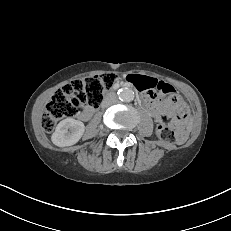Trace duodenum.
<instances>
[{"mask_svg":"<svg viewBox=\"0 0 231 231\" xmlns=\"http://www.w3.org/2000/svg\"><path fill=\"white\" fill-rule=\"evenodd\" d=\"M142 99H143V101H144L146 107L149 109L148 100H147L143 95H142ZM149 110H150V109H149ZM83 117H84V118H88V117H89V113H88V112L84 113V114H83Z\"/></svg>","mask_w":231,"mask_h":231,"instance_id":"obj_1","label":"duodenum"}]
</instances>
